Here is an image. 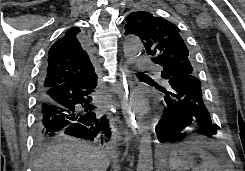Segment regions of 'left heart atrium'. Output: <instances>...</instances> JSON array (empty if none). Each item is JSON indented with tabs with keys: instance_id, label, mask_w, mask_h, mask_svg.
<instances>
[{
	"instance_id": "39dd6f15",
	"label": "left heart atrium",
	"mask_w": 245,
	"mask_h": 171,
	"mask_svg": "<svg viewBox=\"0 0 245 171\" xmlns=\"http://www.w3.org/2000/svg\"><path fill=\"white\" fill-rule=\"evenodd\" d=\"M132 107L137 111H143L145 109L144 102L141 99L133 100Z\"/></svg>"
}]
</instances>
